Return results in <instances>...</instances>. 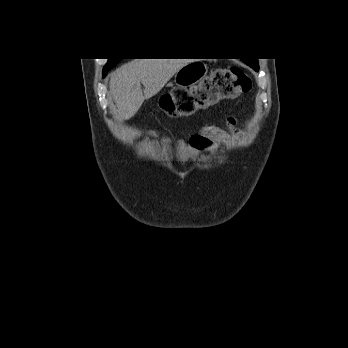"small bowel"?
Wrapping results in <instances>:
<instances>
[{"label":"small bowel","instance_id":"small-bowel-1","mask_svg":"<svg viewBox=\"0 0 348 348\" xmlns=\"http://www.w3.org/2000/svg\"><path fill=\"white\" fill-rule=\"evenodd\" d=\"M228 124L230 131L234 135H238L240 133L239 129L236 127L235 118H230L228 120ZM153 134L162 137L165 144H175L178 149L179 159L183 164H186L189 161L190 155L193 150H204L211 147V141L201 135H193L188 142H185L181 139H171L159 132H153Z\"/></svg>","mask_w":348,"mask_h":348}]
</instances>
